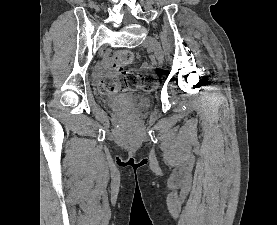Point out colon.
<instances>
[{
	"instance_id": "colon-1",
	"label": "colon",
	"mask_w": 277,
	"mask_h": 225,
	"mask_svg": "<svg viewBox=\"0 0 277 225\" xmlns=\"http://www.w3.org/2000/svg\"><path fill=\"white\" fill-rule=\"evenodd\" d=\"M134 53L130 50H119L111 57L114 73L105 77L99 84L103 94H117L124 91H134L138 88L153 91L157 86L156 73L152 69L139 72L125 70L134 61Z\"/></svg>"
}]
</instances>
